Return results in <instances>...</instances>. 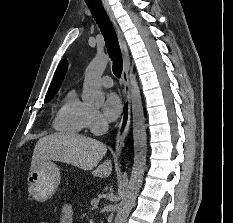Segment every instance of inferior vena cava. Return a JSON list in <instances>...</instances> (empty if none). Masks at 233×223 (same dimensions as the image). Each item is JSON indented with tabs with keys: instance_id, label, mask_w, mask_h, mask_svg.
I'll list each match as a JSON object with an SVG mask.
<instances>
[{
	"instance_id": "inferior-vena-cava-1",
	"label": "inferior vena cava",
	"mask_w": 233,
	"mask_h": 223,
	"mask_svg": "<svg viewBox=\"0 0 233 223\" xmlns=\"http://www.w3.org/2000/svg\"><path fill=\"white\" fill-rule=\"evenodd\" d=\"M101 125L103 129H108V121H106V119H102Z\"/></svg>"
}]
</instances>
